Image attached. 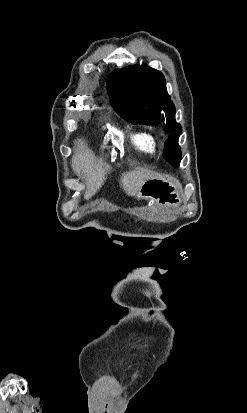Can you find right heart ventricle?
Returning <instances> with one entry per match:
<instances>
[{
	"label": "right heart ventricle",
	"mask_w": 247,
	"mask_h": 413,
	"mask_svg": "<svg viewBox=\"0 0 247 413\" xmlns=\"http://www.w3.org/2000/svg\"><path fill=\"white\" fill-rule=\"evenodd\" d=\"M135 146L144 153H153L155 145L152 141V136L147 132H135L131 137Z\"/></svg>",
	"instance_id": "obj_1"
}]
</instances>
